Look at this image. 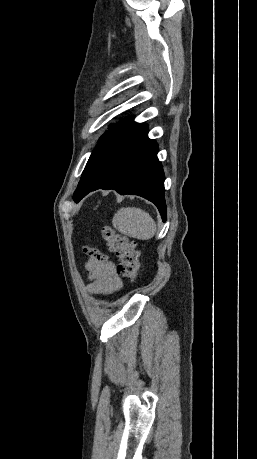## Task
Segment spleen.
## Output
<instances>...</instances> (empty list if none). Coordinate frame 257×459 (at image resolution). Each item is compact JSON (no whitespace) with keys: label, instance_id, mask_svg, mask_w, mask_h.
Wrapping results in <instances>:
<instances>
[{"label":"spleen","instance_id":"3e777b00","mask_svg":"<svg viewBox=\"0 0 257 459\" xmlns=\"http://www.w3.org/2000/svg\"><path fill=\"white\" fill-rule=\"evenodd\" d=\"M112 223L120 233L139 240H149L156 232V223L150 214L136 207L119 209Z\"/></svg>","mask_w":257,"mask_h":459}]
</instances>
